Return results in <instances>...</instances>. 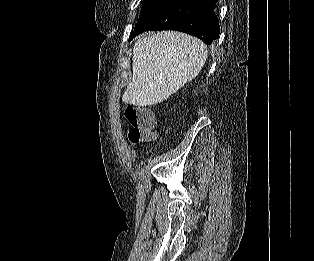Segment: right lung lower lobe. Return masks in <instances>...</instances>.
<instances>
[{
    "instance_id": "right-lung-lower-lobe-1",
    "label": "right lung lower lobe",
    "mask_w": 314,
    "mask_h": 261,
    "mask_svg": "<svg viewBox=\"0 0 314 261\" xmlns=\"http://www.w3.org/2000/svg\"><path fill=\"white\" fill-rule=\"evenodd\" d=\"M216 2L217 0H172L146 22L136 25L129 40L144 31L176 30L211 44L220 33L215 14Z\"/></svg>"
}]
</instances>
